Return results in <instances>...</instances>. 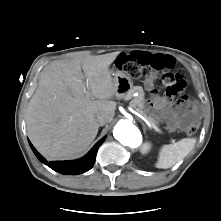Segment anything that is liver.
Returning a JSON list of instances; mask_svg holds the SVG:
<instances>
[{
    "label": "liver",
    "mask_w": 221,
    "mask_h": 221,
    "mask_svg": "<svg viewBox=\"0 0 221 221\" xmlns=\"http://www.w3.org/2000/svg\"><path fill=\"white\" fill-rule=\"evenodd\" d=\"M118 54L54 61L44 69L27 106L26 126L30 140L45 157L74 158L95 139L96 116L113 119L116 102L111 99L117 94L109 66Z\"/></svg>",
    "instance_id": "6515ba94"
}]
</instances>
